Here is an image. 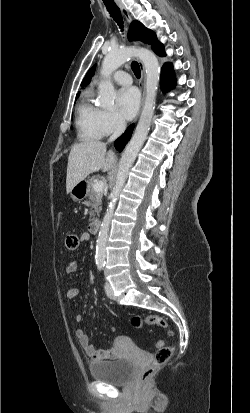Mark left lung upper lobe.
I'll return each mask as SVG.
<instances>
[{"mask_svg":"<svg viewBox=\"0 0 250 413\" xmlns=\"http://www.w3.org/2000/svg\"><path fill=\"white\" fill-rule=\"evenodd\" d=\"M128 39L130 41L140 40L144 43L152 44L151 47L154 51L164 50L163 45L157 40L155 33L136 20L130 25Z\"/></svg>","mask_w":250,"mask_h":413,"instance_id":"obj_1","label":"left lung upper lobe"}]
</instances>
